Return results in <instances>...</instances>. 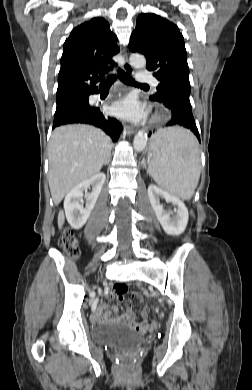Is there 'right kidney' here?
Here are the masks:
<instances>
[{"label":"right kidney","instance_id":"1","mask_svg":"<svg viewBox=\"0 0 252 390\" xmlns=\"http://www.w3.org/2000/svg\"><path fill=\"white\" fill-rule=\"evenodd\" d=\"M106 176L98 173L74 187L65 197L64 210L66 218L74 229H80L88 220L97 198L101 192ZM92 186V192L85 194V207L79 203L84 196V191Z\"/></svg>","mask_w":252,"mask_h":390}]
</instances>
